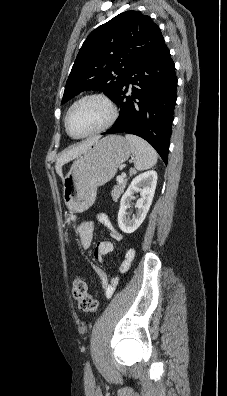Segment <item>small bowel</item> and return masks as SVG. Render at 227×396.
Masks as SVG:
<instances>
[{
  "label": "small bowel",
  "instance_id": "obj_1",
  "mask_svg": "<svg viewBox=\"0 0 227 396\" xmlns=\"http://www.w3.org/2000/svg\"><path fill=\"white\" fill-rule=\"evenodd\" d=\"M71 221L75 220L72 216ZM95 220L101 223L108 231L111 238L115 241H120L122 239L121 233L113 226L109 217L105 213H97L95 215ZM75 230L78 234L79 242L84 249H88L92 245L93 232H94V221L88 220L83 221L74 225ZM113 251V243L108 240L100 241L97 243L94 249V258L97 261H102L104 256ZM134 249H130L122 262L120 270L126 271L134 257ZM93 271L97 276L106 297H111L114 293L116 286L118 284L117 278H109L104 271L98 267H93Z\"/></svg>",
  "mask_w": 227,
  "mask_h": 396
}]
</instances>
